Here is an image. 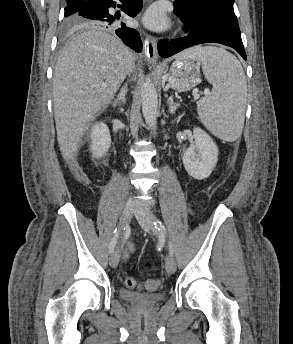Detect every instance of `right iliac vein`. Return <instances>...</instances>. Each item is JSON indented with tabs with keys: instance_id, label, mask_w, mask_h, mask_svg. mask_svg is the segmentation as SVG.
<instances>
[{
	"instance_id": "1",
	"label": "right iliac vein",
	"mask_w": 293,
	"mask_h": 344,
	"mask_svg": "<svg viewBox=\"0 0 293 344\" xmlns=\"http://www.w3.org/2000/svg\"><path fill=\"white\" fill-rule=\"evenodd\" d=\"M134 203L132 201L126 202V204L123 207L122 210V217H121V227H124L127 222L130 220L132 217L133 211H134ZM120 255H119V250L115 249L111 255H110V265L112 268H116L118 263H119Z\"/></svg>"
}]
</instances>
